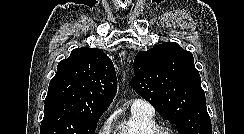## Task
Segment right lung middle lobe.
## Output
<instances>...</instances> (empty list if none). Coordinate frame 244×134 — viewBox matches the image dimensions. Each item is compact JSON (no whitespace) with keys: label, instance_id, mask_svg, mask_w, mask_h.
Wrapping results in <instances>:
<instances>
[{"label":"right lung middle lobe","instance_id":"1","mask_svg":"<svg viewBox=\"0 0 244 134\" xmlns=\"http://www.w3.org/2000/svg\"><path fill=\"white\" fill-rule=\"evenodd\" d=\"M100 116L58 104L44 106L40 134H95Z\"/></svg>","mask_w":244,"mask_h":134}]
</instances>
